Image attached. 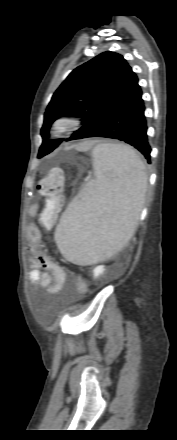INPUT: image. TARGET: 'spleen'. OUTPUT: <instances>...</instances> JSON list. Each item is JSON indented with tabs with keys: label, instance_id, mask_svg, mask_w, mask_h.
<instances>
[{
	"label": "spleen",
	"instance_id": "obj_1",
	"mask_svg": "<svg viewBox=\"0 0 177 440\" xmlns=\"http://www.w3.org/2000/svg\"><path fill=\"white\" fill-rule=\"evenodd\" d=\"M93 165L95 180L68 205L54 234L63 257L79 265L108 259L128 243L147 184L144 163L125 145H97Z\"/></svg>",
	"mask_w": 177,
	"mask_h": 440
}]
</instances>
